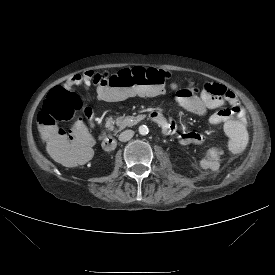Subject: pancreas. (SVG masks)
I'll list each match as a JSON object with an SVG mask.
<instances>
[{
  "instance_id": "obj_1",
  "label": "pancreas",
  "mask_w": 275,
  "mask_h": 275,
  "mask_svg": "<svg viewBox=\"0 0 275 275\" xmlns=\"http://www.w3.org/2000/svg\"><path fill=\"white\" fill-rule=\"evenodd\" d=\"M140 115L138 116H119L116 118L115 123L118 126L119 130L124 129L125 127H131L136 125L140 120Z\"/></svg>"
}]
</instances>
